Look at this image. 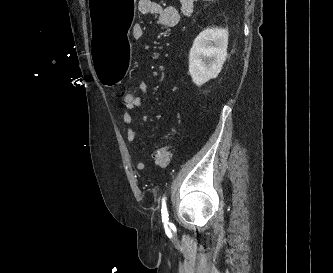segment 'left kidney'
Returning a JSON list of instances; mask_svg holds the SVG:
<instances>
[{"label": "left kidney", "instance_id": "5707ae66", "mask_svg": "<svg viewBox=\"0 0 333 273\" xmlns=\"http://www.w3.org/2000/svg\"><path fill=\"white\" fill-rule=\"evenodd\" d=\"M228 30L208 28L195 38L189 53V73L200 86L220 73L227 57Z\"/></svg>", "mask_w": 333, "mask_h": 273}]
</instances>
